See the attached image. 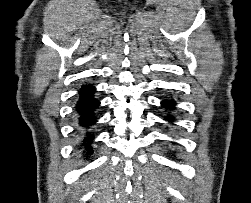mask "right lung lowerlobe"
Masks as SVG:
<instances>
[{"instance_id": "1", "label": "right lung lower lobe", "mask_w": 251, "mask_h": 203, "mask_svg": "<svg viewBox=\"0 0 251 203\" xmlns=\"http://www.w3.org/2000/svg\"><path fill=\"white\" fill-rule=\"evenodd\" d=\"M96 89L92 84H83L79 90L78 99L74 107L78 128L75 130L83 136L81 148L88 156L92 153V142L94 135L92 129L97 122V109L100 106L99 100L95 98Z\"/></svg>"}]
</instances>
